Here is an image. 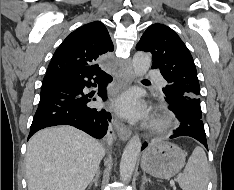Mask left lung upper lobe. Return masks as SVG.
<instances>
[{
	"label": "left lung upper lobe",
	"mask_w": 234,
	"mask_h": 190,
	"mask_svg": "<svg viewBox=\"0 0 234 190\" xmlns=\"http://www.w3.org/2000/svg\"><path fill=\"white\" fill-rule=\"evenodd\" d=\"M136 49L152 53V68H159L168 82L163 88L165 100L181 103L186 111L202 118L196 67L180 37L168 26L156 23L147 28Z\"/></svg>",
	"instance_id": "left-lung-upper-lobe-1"
}]
</instances>
